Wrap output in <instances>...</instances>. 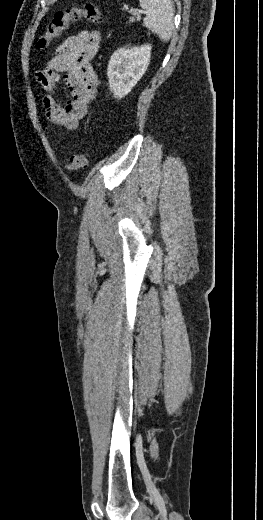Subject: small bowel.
Wrapping results in <instances>:
<instances>
[{
    "mask_svg": "<svg viewBox=\"0 0 263 520\" xmlns=\"http://www.w3.org/2000/svg\"><path fill=\"white\" fill-rule=\"evenodd\" d=\"M101 34L97 30L81 31L68 37L56 50L46 67L36 77L47 92L42 99L46 118L66 129L76 130L94 99L98 78L91 61L97 54ZM63 79L71 99L62 105L57 94Z\"/></svg>",
    "mask_w": 263,
    "mask_h": 520,
    "instance_id": "obj_1",
    "label": "small bowel"
}]
</instances>
